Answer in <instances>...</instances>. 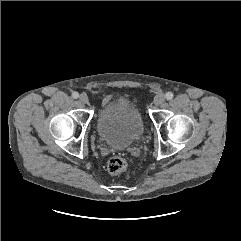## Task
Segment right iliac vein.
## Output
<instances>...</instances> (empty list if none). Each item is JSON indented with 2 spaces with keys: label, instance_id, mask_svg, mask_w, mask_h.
I'll return each mask as SVG.
<instances>
[{
  "label": "right iliac vein",
  "instance_id": "right-iliac-vein-1",
  "mask_svg": "<svg viewBox=\"0 0 241 241\" xmlns=\"http://www.w3.org/2000/svg\"><path fill=\"white\" fill-rule=\"evenodd\" d=\"M79 100L84 104L89 102L88 96L85 93L80 94Z\"/></svg>",
  "mask_w": 241,
  "mask_h": 241
}]
</instances>
